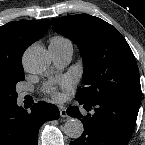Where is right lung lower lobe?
<instances>
[{
  "label": "right lung lower lobe",
  "instance_id": "98d812e1",
  "mask_svg": "<svg viewBox=\"0 0 145 145\" xmlns=\"http://www.w3.org/2000/svg\"><path fill=\"white\" fill-rule=\"evenodd\" d=\"M60 116L57 106L39 101L27 112L15 101L0 102V145H37L43 122Z\"/></svg>",
  "mask_w": 145,
  "mask_h": 145
}]
</instances>
